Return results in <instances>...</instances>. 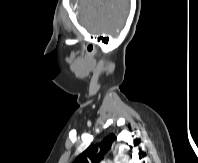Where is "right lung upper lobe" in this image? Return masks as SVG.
<instances>
[{"label": "right lung upper lobe", "instance_id": "1", "mask_svg": "<svg viewBox=\"0 0 198 163\" xmlns=\"http://www.w3.org/2000/svg\"><path fill=\"white\" fill-rule=\"evenodd\" d=\"M115 139L116 136L110 134L101 143L90 145L73 163H100Z\"/></svg>", "mask_w": 198, "mask_h": 163}]
</instances>
